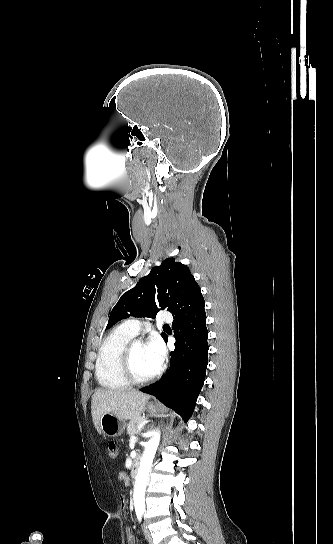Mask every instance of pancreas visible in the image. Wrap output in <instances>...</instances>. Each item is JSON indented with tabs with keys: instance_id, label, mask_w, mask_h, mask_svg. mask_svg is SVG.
I'll return each mask as SVG.
<instances>
[{
	"instance_id": "cf45deb5",
	"label": "pancreas",
	"mask_w": 333,
	"mask_h": 544,
	"mask_svg": "<svg viewBox=\"0 0 333 544\" xmlns=\"http://www.w3.org/2000/svg\"><path fill=\"white\" fill-rule=\"evenodd\" d=\"M145 421V417H138L134 420H131L127 427V434L130 436H134L139 431V425Z\"/></svg>"
}]
</instances>
